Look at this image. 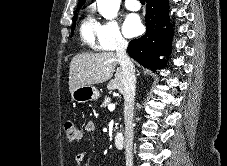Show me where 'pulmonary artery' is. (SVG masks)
I'll return each mask as SVG.
<instances>
[{
  "instance_id": "1",
  "label": "pulmonary artery",
  "mask_w": 227,
  "mask_h": 166,
  "mask_svg": "<svg viewBox=\"0 0 227 166\" xmlns=\"http://www.w3.org/2000/svg\"><path fill=\"white\" fill-rule=\"evenodd\" d=\"M139 0H125V6L130 11H138L141 7Z\"/></svg>"
}]
</instances>
